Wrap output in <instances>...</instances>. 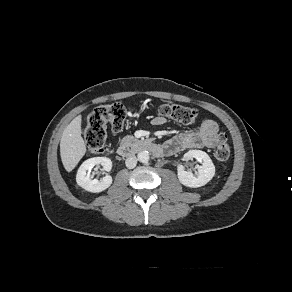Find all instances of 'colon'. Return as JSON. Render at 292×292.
I'll return each mask as SVG.
<instances>
[{
	"label": "colon",
	"instance_id": "colon-1",
	"mask_svg": "<svg viewBox=\"0 0 292 292\" xmlns=\"http://www.w3.org/2000/svg\"><path fill=\"white\" fill-rule=\"evenodd\" d=\"M159 116L171 119L182 124H192L197 118V111L193 108L177 104H163L158 107ZM127 118V110L120 103L100 105L96 107L86 120L84 139L87 147L92 153H101L105 149L107 127L113 132L121 131ZM229 138L225 133L217 137L215 156L219 161H227L230 157Z\"/></svg>",
	"mask_w": 292,
	"mask_h": 292
}]
</instances>
